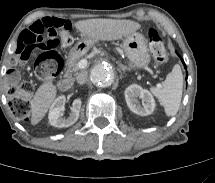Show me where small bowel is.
Wrapping results in <instances>:
<instances>
[{
	"label": "small bowel",
	"instance_id": "small-bowel-1",
	"mask_svg": "<svg viewBox=\"0 0 215 183\" xmlns=\"http://www.w3.org/2000/svg\"><path fill=\"white\" fill-rule=\"evenodd\" d=\"M57 19V18H56ZM31 26V25H30ZM30 29V27H29ZM18 79L17 75L14 76V80L16 81Z\"/></svg>",
	"mask_w": 215,
	"mask_h": 183
}]
</instances>
